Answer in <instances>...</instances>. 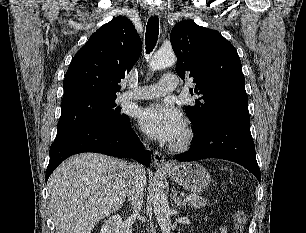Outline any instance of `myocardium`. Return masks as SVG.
Returning a JSON list of instances; mask_svg holds the SVG:
<instances>
[{
  "instance_id": "obj_1",
  "label": "myocardium",
  "mask_w": 306,
  "mask_h": 233,
  "mask_svg": "<svg viewBox=\"0 0 306 233\" xmlns=\"http://www.w3.org/2000/svg\"><path fill=\"white\" fill-rule=\"evenodd\" d=\"M195 133L189 122L184 124L182 136L170 144V149L173 151H185L189 149L194 141Z\"/></svg>"
}]
</instances>
